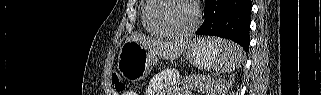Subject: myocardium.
Wrapping results in <instances>:
<instances>
[{"instance_id":"f54148a6","label":"myocardium","mask_w":321,"mask_h":95,"mask_svg":"<svg viewBox=\"0 0 321 95\" xmlns=\"http://www.w3.org/2000/svg\"><path fill=\"white\" fill-rule=\"evenodd\" d=\"M161 1L166 2L170 0H150V5L147 10V20L149 24L152 26V28H154L156 31H158L159 33L165 36L183 37V36H188L192 34L198 28L200 24V10L196 1L183 0L192 7L193 16H194L191 26L188 29L183 31L173 30V29L161 26L153 19L152 12Z\"/></svg>"}]
</instances>
